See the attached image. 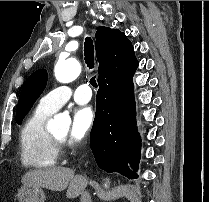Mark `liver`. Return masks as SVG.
<instances>
[{"label":"liver","instance_id":"obj_1","mask_svg":"<svg viewBox=\"0 0 209 202\" xmlns=\"http://www.w3.org/2000/svg\"><path fill=\"white\" fill-rule=\"evenodd\" d=\"M23 185L43 187L52 191L67 189V198H76L87 186V179L75 175L74 171L66 167L36 169L27 172L21 180Z\"/></svg>","mask_w":209,"mask_h":202}]
</instances>
